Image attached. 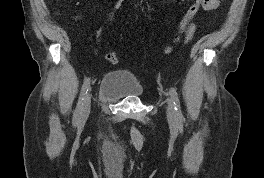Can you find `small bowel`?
<instances>
[{"label": "small bowel", "instance_id": "obj_1", "mask_svg": "<svg viewBox=\"0 0 264 178\" xmlns=\"http://www.w3.org/2000/svg\"><path fill=\"white\" fill-rule=\"evenodd\" d=\"M125 2V0H117L114 4L113 10L109 13L108 19L112 20L116 16L117 12L119 11L122 4ZM219 5V0H208L207 5L205 6V10H212L217 8Z\"/></svg>", "mask_w": 264, "mask_h": 178}]
</instances>
